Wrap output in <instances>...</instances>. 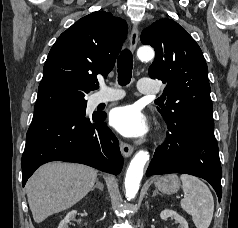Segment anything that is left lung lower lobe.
<instances>
[{
    "label": "left lung lower lobe",
    "mask_w": 238,
    "mask_h": 228,
    "mask_svg": "<svg viewBox=\"0 0 238 228\" xmlns=\"http://www.w3.org/2000/svg\"><path fill=\"white\" fill-rule=\"evenodd\" d=\"M167 141L158 147L146 175L185 173L207 180L222 196L221 164L214 125L183 119L167 121Z\"/></svg>",
    "instance_id": "0a47b994"
}]
</instances>
